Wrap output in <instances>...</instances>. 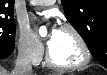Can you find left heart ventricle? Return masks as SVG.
Wrapping results in <instances>:
<instances>
[{
  "label": "left heart ventricle",
  "instance_id": "obj_1",
  "mask_svg": "<svg viewBox=\"0 0 107 75\" xmlns=\"http://www.w3.org/2000/svg\"><path fill=\"white\" fill-rule=\"evenodd\" d=\"M49 50L53 60L61 65L76 64L83 57L78 41L68 31L59 30Z\"/></svg>",
  "mask_w": 107,
  "mask_h": 75
}]
</instances>
